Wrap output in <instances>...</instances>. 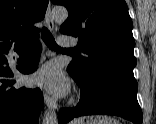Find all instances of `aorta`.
I'll list each match as a JSON object with an SVG mask.
<instances>
[{
	"label": "aorta",
	"instance_id": "aorta-1",
	"mask_svg": "<svg viewBox=\"0 0 156 124\" xmlns=\"http://www.w3.org/2000/svg\"><path fill=\"white\" fill-rule=\"evenodd\" d=\"M68 17V11L63 7L54 8L52 10V18L56 22H64ZM43 124H58L57 114L54 110L46 109L43 116Z\"/></svg>",
	"mask_w": 156,
	"mask_h": 124
}]
</instances>
